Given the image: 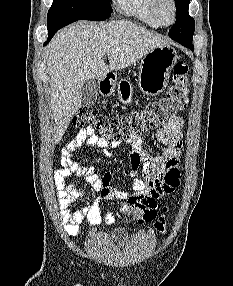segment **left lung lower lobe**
<instances>
[{
  "label": "left lung lower lobe",
  "instance_id": "left-lung-lower-lobe-1",
  "mask_svg": "<svg viewBox=\"0 0 233 286\" xmlns=\"http://www.w3.org/2000/svg\"><path fill=\"white\" fill-rule=\"evenodd\" d=\"M192 39L191 40H179L177 41L178 43L190 48L191 50H194V46L193 44L191 43Z\"/></svg>",
  "mask_w": 233,
  "mask_h": 286
}]
</instances>
